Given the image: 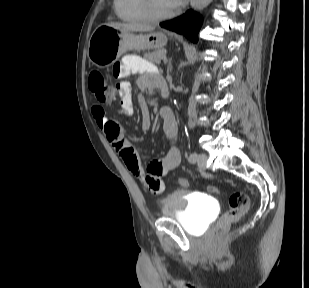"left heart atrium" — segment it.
Here are the masks:
<instances>
[{
    "mask_svg": "<svg viewBox=\"0 0 309 288\" xmlns=\"http://www.w3.org/2000/svg\"><path fill=\"white\" fill-rule=\"evenodd\" d=\"M169 1L173 5L174 8L180 6L183 2V0H169Z\"/></svg>",
    "mask_w": 309,
    "mask_h": 288,
    "instance_id": "left-heart-atrium-1",
    "label": "left heart atrium"
}]
</instances>
